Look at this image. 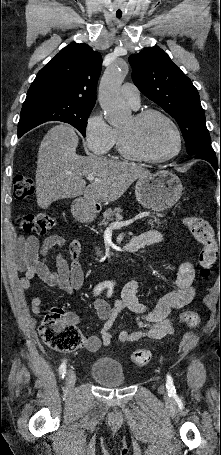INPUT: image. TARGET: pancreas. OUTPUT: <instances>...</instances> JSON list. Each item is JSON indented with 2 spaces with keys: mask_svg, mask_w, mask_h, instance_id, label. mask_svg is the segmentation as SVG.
Wrapping results in <instances>:
<instances>
[{
  "mask_svg": "<svg viewBox=\"0 0 221 455\" xmlns=\"http://www.w3.org/2000/svg\"><path fill=\"white\" fill-rule=\"evenodd\" d=\"M121 212H122V209L119 207L114 208L113 210L107 209L103 213V219L99 222V226H107L109 221H111V220H121L122 219V216L120 215ZM164 222H166V221H161L160 218H158L156 216H152L150 219L151 224L162 225V223H164ZM95 250H96V254H98V255L102 254V250L100 248L96 247Z\"/></svg>",
  "mask_w": 221,
  "mask_h": 455,
  "instance_id": "obj_1",
  "label": "pancreas"
}]
</instances>
